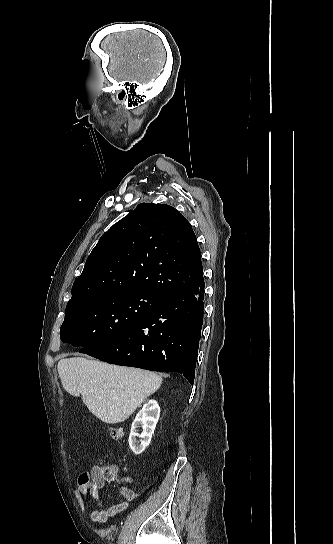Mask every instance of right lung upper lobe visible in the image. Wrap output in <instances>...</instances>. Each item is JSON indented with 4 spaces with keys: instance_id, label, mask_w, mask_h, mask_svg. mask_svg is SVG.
<instances>
[{
    "instance_id": "right-lung-upper-lobe-1",
    "label": "right lung upper lobe",
    "mask_w": 333,
    "mask_h": 544,
    "mask_svg": "<svg viewBox=\"0 0 333 544\" xmlns=\"http://www.w3.org/2000/svg\"><path fill=\"white\" fill-rule=\"evenodd\" d=\"M202 279L201 253L190 223L171 206L142 203L100 238L68 303L139 291L164 298Z\"/></svg>"
}]
</instances>
